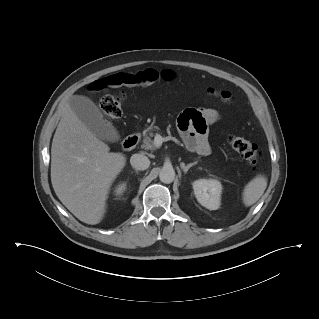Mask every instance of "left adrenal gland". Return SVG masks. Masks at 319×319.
Here are the masks:
<instances>
[{
    "label": "left adrenal gland",
    "mask_w": 319,
    "mask_h": 319,
    "mask_svg": "<svg viewBox=\"0 0 319 319\" xmlns=\"http://www.w3.org/2000/svg\"><path fill=\"white\" fill-rule=\"evenodd\" d=\"M197 162H193L190 164L185 165L184 163H181L180 167L183 170L184 173H187V171L193 166L195 165Z\"/></svg>",
    "instance_id": "1"
}]
</instances>
